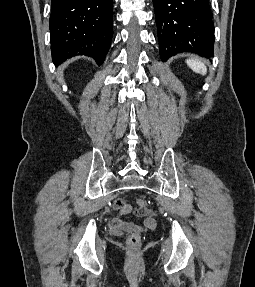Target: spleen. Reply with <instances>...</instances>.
Here are the masks:
<instances>
[{
    "instance_id": "obj_1",
    "label": "spleen",
    "mask_w": 255,
    "mask_h": 287,
    "mask_svg": "<svg viewBox=\"0 0 255 287\" xmlns=\"http://www.w3.org/2000/svg\"><path fill=\"white\" fill-rule=\"evenodd\" d=\"M187 66L193 70V72H197V74H202V76H205L207 74V68L202 64V62H199V60H186Z\"/></svg>"
}]
</instances>
